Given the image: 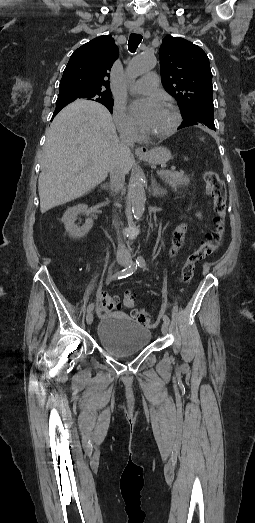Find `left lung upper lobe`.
Listing matches in <instances>:
<instances>
[{"label":"left lung upper lobe","mask_w":255,"mask_h":523,"mask_svg":"<svg viewBox=\"0 0 255 523\" xmlns=\"http://www.w3.org/2000/svg\"><path fill=\"white\" fill-rule=\"evenodd\" d=\"M162 83L183 112L180 128L203 124L216 131L212 73L206 53L197 45L167 35L159 50Z\"/></svg>","instance_id":"obj_1"}]
</instances>
